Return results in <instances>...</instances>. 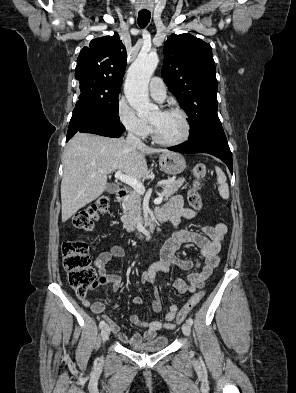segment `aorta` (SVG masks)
Instances as JSON below:
<instances>
[{
  "label": "aorta",
  "mask_w": 296,
  "mask_h": 393,
  "mask_svg": "<svg viewBox=\"0 0 296 393\" xmlns=\"http://www.w3.org/2000/svg\"><path fill=\"white\" fill-rule=\"evenodd\" d=\"M158 62L156 54H139L128 70L124 93L139 117L148 116L158 110L156 105L150 103L148 96V84Z\"/></svg>",
  "instance_id": "1"
}]
</instances>
